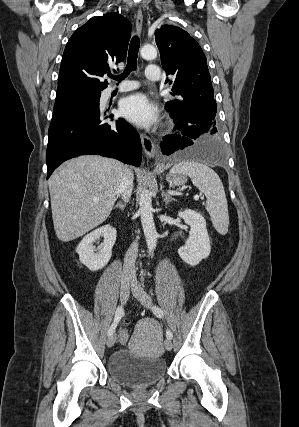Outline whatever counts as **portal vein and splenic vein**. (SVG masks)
I'll use <instances>...</instances> for the list:
<instances>
[{"label":"portal vein and splenic vein","instance_id":"obj_1","mask_svg":"<svg viewBox=\"0 0 299 427\" xmlns=\"http://www.w3.org/2000/svg\"><path fill=\"white\" fill-rule=\"evenodd\" d=\"M199 198H200V196H199V195H195V196H194V199H195V200H198Z\"/></svg>","mask_w":299,"mask_h":427}]
</instances>
